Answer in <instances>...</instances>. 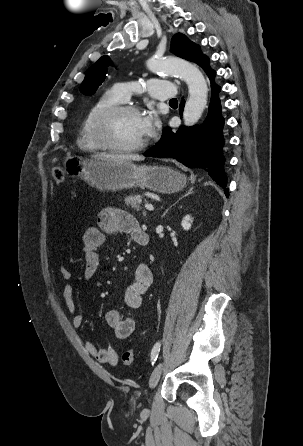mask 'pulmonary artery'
Returning a JSON list of instances; mask_svg holds the SVG:
<instances>
[{
    "label": "pulmonary artery",
    "mask_w": 303,
    "mask_h": 446,
    "mask_svg": "<svg viewBox=\"0 0 303 446\" xmlns=\"http://www.w3.org/2000/svg\"><path fill=\"white\" fill-rule=\"evenodd\" d=\"M140 89V86L134 82L117 83L114 86L115 92L123 101H127L133 92L140 91ZM146 89L151 97L158 100L172 99L176 95L174 85L165 80L151 79L147 81Z\"/></svg>",
    "instance_id": "1"
}]
</instances>
